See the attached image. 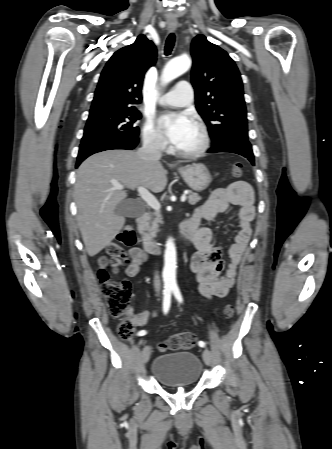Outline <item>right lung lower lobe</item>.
I'll use <instances>...</instances> for the list:
<instances>
[{
  "mask_svg": "<svg viewBox=\"0 0 332 449\" xmlns=\"http://www.w3.org/2000/svg\"><path fill=\"white\" fill-rule=\"evenodd\" d=\"M139 139L101 138L81 143L77 157L76 167L88 156L110 149H134Z\"/></svg>",
  "mask_w": 332,
  "mask_h": 449,
  "instance_id": "obj_1",
  "label": "right lung lower lobe"
}]
</instances>
